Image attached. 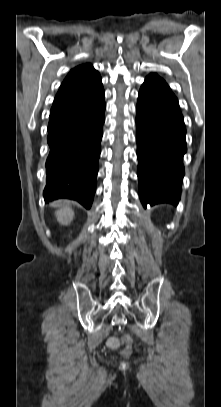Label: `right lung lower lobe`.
<instances>
[{"label": "right lung lower lobe", "mask_w": 221, "mask_h": 407, "mask_svg": "<svg viewBox=\"0 0 221 407\" xmlns=\"http://www.w3.org/2000/svg\"><path fill=\"white\" fill-rule=\"evenodd\" d=\"M104 89L52 106L48 125L46 202L68 198L90 208L104 123Z\"/></svg>", "instance_id": "obj_1"}]
</instances>
